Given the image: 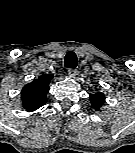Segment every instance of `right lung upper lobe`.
Masks as SVG:
<instances>
[{"instance_id":"obj_1","label":"right lung upper lobe","mask_w":135,"mask_h":153,"mask_svg":"<svg viewBox=\"0 0 135 153\" xmlns=\"http://www.w3.org/2000/svg\"><path fill=\"white\" fill-rule=\"evenodd\" d=\"M53 77V74H42L38 79H35L23 87L21 99L23 107L28 112L35 111L46 103L49 83Z\"/></svg>"}]
</instances>
